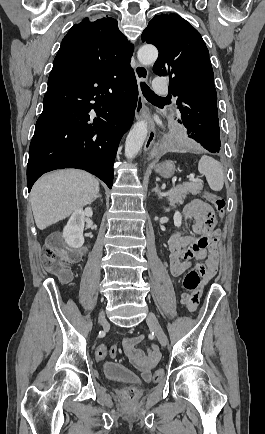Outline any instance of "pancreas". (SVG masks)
Wrapping results in <instances>:
<instances>
[{
  "label": "pancreas",
  "mask_w": 265,
  "mask_h": 434,
  "mask_svg": "<svg viewBox=\"0 0 265 434\" xmlns=\"http://www.w3.org/2000/svg\"><path fill=\"white\" fill-rule=\"evenodd\" d=\"M202 184L199 182H190V184H184V186H177L171 194H169L167 200L170 202V206H175V204H183L187 194H193L197 196L200 190H202Z\"/></svg>",
  "instance_id": "obj_1"
}]
</instances>
